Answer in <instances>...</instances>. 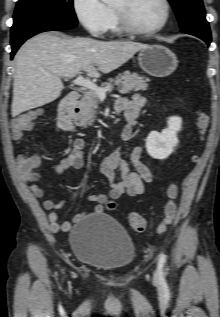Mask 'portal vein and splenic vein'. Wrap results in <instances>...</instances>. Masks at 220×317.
Returning a JSON list of instances; mask_svg holds the SVG:
<instances>
[{"mask_svg": "<svg viewBox=\"0 0 220 317\" xmlns=\"http://www.w3.org/2000/svg\"><path fill=\"white\" fill-rule=\"evenodd\" d=\"M72 83L78 86H82L91 91H94L100 99H104L106 97V93L111 91L112 89L111 86L106 88L98 87L91 80L85 79L81 75L78 76L75 80H73Z\"/></svg>", "mask_w": 220, "mask_h": 317, "instance_id": "18ae733b", "label": "portal vein and splenic vein"}]
</instances>
